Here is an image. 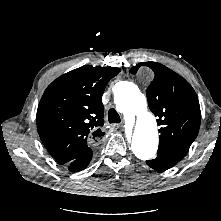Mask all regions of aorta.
I'll list each match as a JSON object with an SVG mask.
<instances>
[{"instance_id": "obj_1", "label": "aorta", "mask_w": 221, "mask_h": 221, "mask_svg": "<svg viewBox=\"0 0 221 221\" xmlns=\"http://www.w3.org/2000/svg\"><path fill=\"white\" fill-rule=\"evenodd\" d=\"M114 103L125 118L135 121L131 149L142 160L152 159L159 144L155 117L147 111L145 96L131 82H122L114 93Z\"/></svg>"}]
</instances>
